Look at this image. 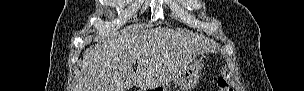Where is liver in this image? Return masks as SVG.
Here are the masks:
<instances>
[{"label": "liver", "instance_id": "liver-1", "mask_svg": "<svg viewBox=\"0 0 304 91\" xmlns=\"http://www.w3.org/2000/svg\"><path fill=\"white\" fill-rule=\"evenodd\" d=\"M209 51L210 43L190 32L123 30L85 50L75 91L154 89L174 81L197 55ZM134 62L138 64L135 72Z\"/></svg>", "mask_w": 304, "mask_h": 91}]
</instances>
